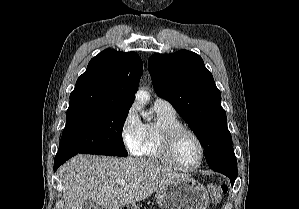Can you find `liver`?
<instances>
[{
  "mask_svg": "<svg viewBox=\"0 0 299 209\" xmlns=\"http://www.w3.org/2000/svg\"><path fill=\"white\" fill-rule=\"evenodd\" d=\"M189 177L151 161L77 155L59 169L65 209H82L91 199L106 207L134 205L153 192ZM119 181H125L124 185Z\"/></svg>",
  "mask_w": 299,
  "mask_h": 209,
  "instance_id": "obj_1",
  "label": "liver"
}]
</instances>
